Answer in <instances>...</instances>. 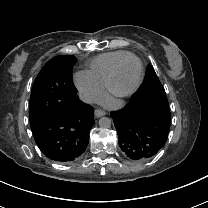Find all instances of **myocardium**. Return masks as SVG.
<instances>
[{
	"label": "myocardium",
	"mask_w": 208,
	"mask_h": 208,
	"mask_svg": "<svg viewBox=\"0 0 208 208\" xmlns=\"http://www.w3.org/2000/svg\"><path fill=\"white\" fill-rule=\"evenodd\" d=\"M132 58L136 59L139 62V65H140V72H139L138 80L131 89H129L127 91H122V92L117 91L114 87L117 73H118L120 67L127 60L132 59ZM143 79H144V64H143V61L141 60V58L139 56H137L136 54L131 53V54L125 56L124 58H122L121 60H119L114 65V67L112 68L111 73L108 77L107 83L105 85V89H106L107 93L112 97L119 98V99L127 98V97L132 96L140 88V86L143 82Z\"/></svg>",
	"instance_id": "f54148a6"
}]
</instances>
